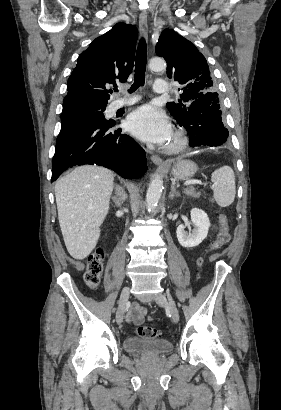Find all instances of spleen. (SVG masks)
I'll list each match as a JSON object with an SVG mask.
<instances>
[{
    "instance_id": "obj_1",
    "label": "spleen",
    "mask_w": 281,
    "mask_h": 410,
    "mask_svg": "<svg viewBox=\"0 0 281 410\" xmlns=\"http://www.w3.org/2000/svg\"><path fill=\"white\" fill-rule=\"evenodd\" d=\"M214 199L221 207L230 206L235 199V176L229 166L216 169L211 176Z\"/></svg>"
}]
</instances>
